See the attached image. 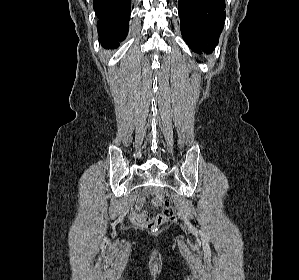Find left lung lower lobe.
I'll return each instance as SVG.
<instances>
[{"mask_svg": "<svg viewBox=\"0 0 299 280\" xmlns=\"http://www.w3.org/2000/svg\"><path fill=\"white\" fill-rule=\"evenodd\" d=\"M178 12L187 45L194 51H213L224 26L225 0H179Z\"/></svg>", "mask_w": 299, "mask_h": 280, "instance_id": "0a47b994", "label": "left lung lower lobe"}]
</instances>
